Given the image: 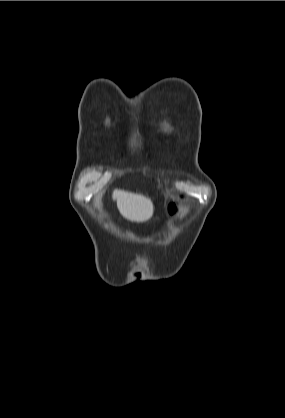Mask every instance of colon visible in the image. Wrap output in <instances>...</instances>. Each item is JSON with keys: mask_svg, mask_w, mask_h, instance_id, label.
Here are the masks:
<instances>
[{"mask_svg": "<svg viewBox=\"0 0 285 418\" xmlns=\"http://www.w3.org/2000/svg\"><path fill=\"white\" fill-rule=\"evenodd\" d=\"M168 211H169V214L172 215V216H175V215L178 214L179 208L174 201H172L169 204Z\"/></svg>", "mask_w": 285, "mask_h": 418, "instance_id": "5ec220e1", "label": "colon"}]
</instances>
